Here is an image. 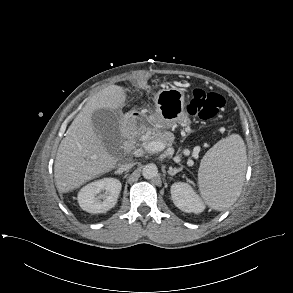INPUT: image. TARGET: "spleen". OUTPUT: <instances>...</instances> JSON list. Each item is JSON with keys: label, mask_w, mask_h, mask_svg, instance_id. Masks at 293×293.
I'll list each match as a JSON object with an SVG mask.
<instances>
[{"label": "spleen", "mask_w": 293, "mask_h": 293, "mask_svg": "<svg viewBox=\"0 0 293 293\" xmlns=\"http://www.w3.org/2000/svg\"><path fill=\"white\" fill-rule=\"evenodd\" d=\"M246 147L238 134L217 142L204 155L198 183L206 204L222 211L233 205L240 196L246 170Z\"/></svg>", "instance_id": "spleen-1"}]
</instances>
